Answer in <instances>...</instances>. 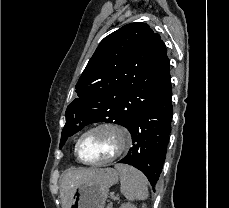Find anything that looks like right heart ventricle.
I'll list each match as a JSON object with an SVG mask.
<instances>
[{"label": "right heart ventricle", "mask_w": 229, "mask_h": 208, "mask_svg": "<svg viewBox=\"0 0 229 208\" xmlns=\"http://www.w3.org/2000/svg\"><path fill=\"white\" fill-rule=\"evenodd\" d=\"M74 156H75V159L78 161L76 154H75V146H74Z\"/></svg>", "instance_id": "right-heart-ventricle-1"}]
</instances>
